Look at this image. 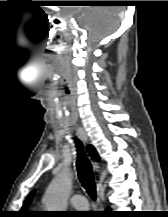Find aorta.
I'll return each mask as SVG.
<instances>
[{"label":"aorta","instance_id":"obj_1","mask_svg":"<svg viewBox=\"0 0 168 217\" xmlns=\"http://www.w3.org/2000/svg\"><path fill=\"white\" fill-rule=\"evenodd\" d=\"M71 187V174L67 170L61 171L46 190L43 202L47 211H66Z\"/></svg>","mask_w":168,"mask_h":217}]
</instances>
